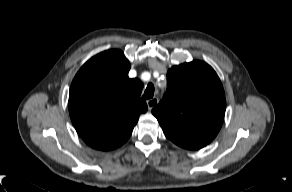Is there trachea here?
Instances as JSON below:
<instances>
[{
    "label": "trachea",
    "mask_w": 292,
    "mask_h": 192,
    "mask_svg": "<svg viewBox=\"0 0 292 192\" xmlns=\"http://www.w3.org/2000/svg\"><path fill=\"white\" fill-rule=\"evenodd\" d=\"M154 95V86L153 84L149 83L145 89V92L143 94L144 99H151Z\"/></svg>",
    "instance_id": "trachea-1"
}]
</instances>
